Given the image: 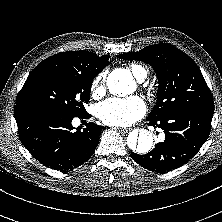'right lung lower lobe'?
I'll return each instance as SVG.
<instances>
[{
    "label": "right lung lower lobe",
    "instance_id": "1",
    "mask_svg": "<svg viewBox=\"0 0 222 222\" xmlns=\"http://www.w3.org/2000/svg\"><path fill=\"white\" fill-rule=\"evenodd\" d=\"M19 138L31 155L52 169L72 170L86 162L95 151L106 127L86 123L76 130L74 117L89 119L90 114L72 116L45 106H15Z\"/></svg>",
    "mask_w": 222,
    "mask_h": 222
}]
</instances>
